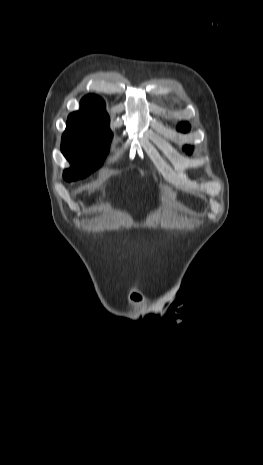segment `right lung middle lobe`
Here are the masks:
<instances>
[{
    "mask_svg": "<svg viewBox=\"0 0 263 465\" xmlns=\"http://www.w3.org/2000/svg\"><path fill=\"white\" fill-rule=\"evenodd\" d=\"M109 124L83 118H68L61 151L71 163L63 173L66 181L86 177L101 166L112 138Z\"/></svg>",
    "mask_w": 263,
    "mask_h": 465,
    "instance_id": "right-lung-middle-lobe-1",
    "label": "right lung middle lobe"
}]
</instances>
